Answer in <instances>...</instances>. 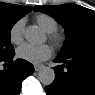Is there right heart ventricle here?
<instances>
[{"mask_svg":"<svg viewBox=\"0 0 95 95\" xmlns=\"http://www.w3.org/2000/svg\"><path fill=\"white\" fill-rule=\"evenodd\" d=\"M36 23L46 33H53L58 29V22L56 19L47 14H39L36 16Z\"/></svg>","mask_w":95,"mask_h":95,"instance_id":"right-heart-ventricle-1","label":"right heart ventricle"}]
</instances>
